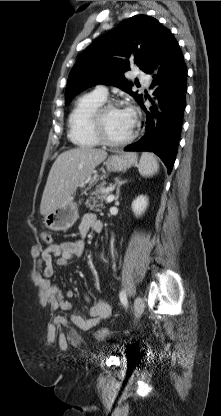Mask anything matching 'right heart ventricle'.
<instances>
[{
	"mask_svg": "<svg viewBox=\"0 0 221 416\" xmlns=\"http://www.w3.org/2000/svg\"><path fill=\"white\" fill-rule=\"evenodd\" d=\"M106 97L95 91L82 95L72 109L69 119V138L77 146L94 147L100 144L92 132L91 120L95 109L105 102Z\"/></svg>",
	"mask_w": 221,
	"mask_h": 416,
	"instance_id": "obj_1",
	"label": "right heart ventricle"
}]
</instances>
